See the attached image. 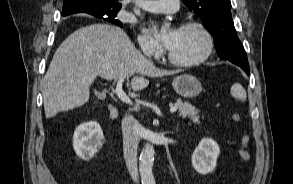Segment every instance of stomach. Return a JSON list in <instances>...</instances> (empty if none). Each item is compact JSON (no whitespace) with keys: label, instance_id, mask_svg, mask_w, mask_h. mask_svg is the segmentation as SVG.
Instances as JSON below:
<instances>
[{"label":"stomach","instance_id":"stomach-1","mask_svg":"<svg viewBox=\"0 0 293 184\" xmlns=\"http://www.w3.org/2000/svg\"><path fill=\"white\" fill-rule=\"evenodd\" d=\"M172 86L184 98H194L199 95L202 89L200 81L189 74L176 77L172 82Z\"/></svg>","mask_w":293,"mask_h":184}]
</instances>
